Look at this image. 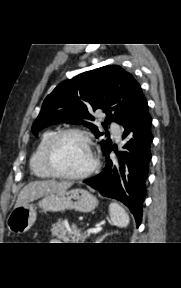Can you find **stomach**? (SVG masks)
Here are the masks:
<instances>
[{"instance_id": "stomach-1", "label": "stomach", "mask_w": 181, "mask_h": 288, "mask_svg": "<svg viewBox=\"0 0 181 288\" xmlns=\"http://www.w3.org/2000/svg\"><path fill=\"white\" fill-rule=\"evenodd\" d=\"M98 205L95 196L84 189H71L63 192L45 195L38 206L45 211L58 212L74 209L80 212L93 211ZM36 220V207L33 204L16 207L7 218V226L14 233L28 231Z\"/></svg>"}]
</instances>
